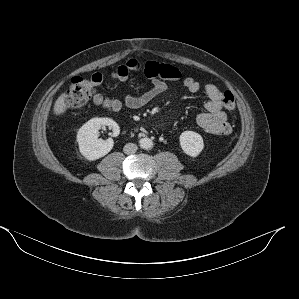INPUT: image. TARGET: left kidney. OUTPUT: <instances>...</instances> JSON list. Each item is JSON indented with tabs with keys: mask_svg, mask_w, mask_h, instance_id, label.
Listing matches in <instances>:
<instances>
[{
	"mask_svg": "<svg viewBox=\"0 0 299 299\" xmlns=\"http://www.w3.org/2000/svg\"><path fill=\"white\" fill-rule=\"evenodd\" d=\"M180 146L185 154L197 157L204 149L203 138L193 131H184L179 137Z\"/></svg>",
	"mask_w": 299,
	"mask_h": 299,
	"instance_id": "5707ae66",
	"label": "left kidney"
}]
</instances>
